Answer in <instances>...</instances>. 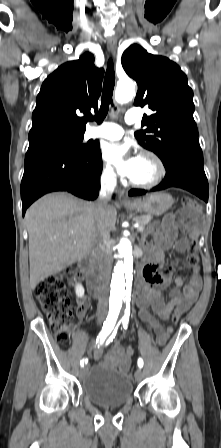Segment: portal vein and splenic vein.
Listing matches in <instances>:
<instances>
[{
	"label": "portal vein and splenic vein",
	"mask_w": 221,
	"mask_h": 448,
	"mask_svg": "<svg viewBox=\"0 0 221 448\" xmlns=\"http://www.w3.org/2000/svg\"><path fill=\"white\" fill-rule=\"evenodd\" d=\"M135 227L137 228L138 231H143L144 227L141 226L140 224H135Z\"/></svg>",
	"instance_id": "portal-vein-and-splenic-vein-1"
}]
</instances>
